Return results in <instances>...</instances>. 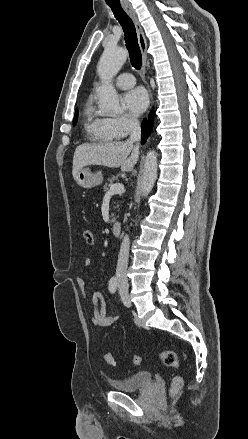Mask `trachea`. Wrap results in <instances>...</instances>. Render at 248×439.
Masks as SVG:
<instances>
[{
    "mask_svg": "<svg viewBox=\"0 0 248 439\" xmlns=\"http://www.w3.org/2000/svg\"><path fill=\"white\" fill-rule=\"evenodd\" d=\"M108 5L112 9L115 18L119 21L124 31L126 47L129 51L131 64L135 69L139 70L142 64V54L137 41L135 25L121 5Z\"/></svg>",
    "mask_w": 248,
    "mask_h": 439,
    "instance_id": "3493384b",
    "label": "trachea"
}]
</instances>
